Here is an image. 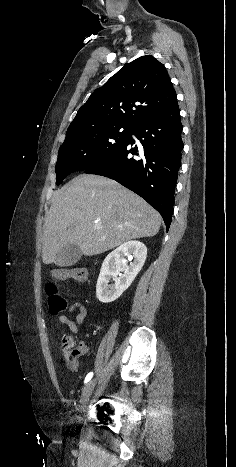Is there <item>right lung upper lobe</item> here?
I'll use <instances>...</instances> for the list:
<instances>
[{
	"mask_svg": "<svg viewBox=\"0 0 236 467\" xmlns=\"http://www.w3.org/2000/svg\"><path fill=\"white\" fill-rule=\"evenodd\" d=\"M177 102L166 68L151 55L124 65L78 110L67 136L114 125L136 127Z\"/></svg>",
	"mask_w": 236,
	"mask_h": 467,
	"instance_id": "1",
	"label": "right lung upper lobe"
}]
</instances>
